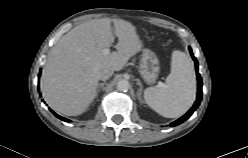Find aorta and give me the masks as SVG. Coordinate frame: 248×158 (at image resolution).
Instances as JSON below:
<instances>
[{
    "label": "aorta",
    "mask_w": 248,
    "mask_h": 158,
    "mask_svg": "<svg viewBox=\"0 0 248 158\" xmlns=\"http://www.w3.org/2000/svg\"><path fill=\"white\" fill-rule=\"evenodd\" d=\"M129 88H130V83L127 80L122 79L118 81L117 89L119 91H127Z\"/></svg>",
    "instance_id": "1"
}]
</instances>
